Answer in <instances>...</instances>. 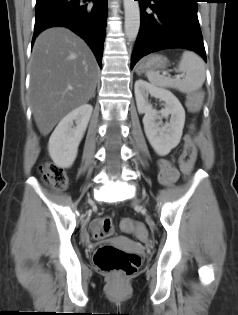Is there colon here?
<instances>
[{"mask_svg": "<svg viewBox=\"0 0 238 315\" xmlns=\"http://www.w3.org/2000/svg\"><path fill=\"white\" fill-rule=\"evenodd\" d=\"M200 101L201 95L193 94L188 100V105L192 110H197L200 106ZM196 153L195 143L191 137H187L178 160L179 168L185 175L192 171ZM39 171L47 184L58 190L66 188L68 176L61 167L53 163H46L40 166ZM121 228L123 231L132 233L140 239H144L147 236L145 226L130 219L123 220ZM113 231L114 225L110 217L98 218L91 225V232L97 239L109 237ZM94 263L100 271L110 275L115 280H123L137 271L141 264V258L135 253L125 252L111 245H102L94 255Z\"/></svg>", "mask_w": 238, "mask_h": 315, "instance_id": "1", "label": "colon"}]
</instances>
